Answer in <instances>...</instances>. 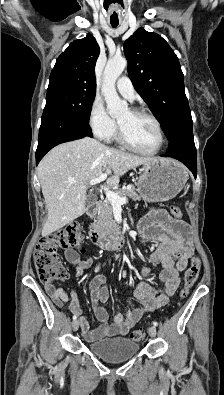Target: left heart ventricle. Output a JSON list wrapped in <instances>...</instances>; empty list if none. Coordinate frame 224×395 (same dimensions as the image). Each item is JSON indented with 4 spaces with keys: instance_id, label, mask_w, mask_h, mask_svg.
<instances>
[{
    "instance_id": "left-heart-ventricle-1",
    "label": "left heart ventricle",
    "mask_w": 224,
    "mask_h": 395,
    "mask_svg": "<svg viewBox=\"0 0 224 395\" xmlns=\"http://www.w3.org/2000/svg\"><path fill=\"white\" fill-rule=\"evenodd\" d=\"M128 139L138 148L154 150L159 143V134L154 122L146 116L132 113L129 109L118 118Z\"/></svg>"
}]
</instances>
